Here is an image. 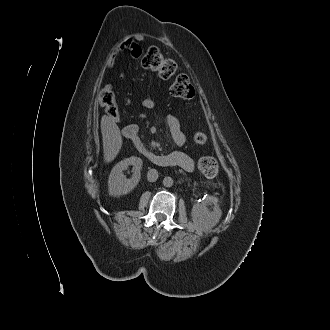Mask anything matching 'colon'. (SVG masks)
<instances>
[{
    "label": "colon",
    "mask_w": 330,
    "mask_h": 330,
    "mask_svg": "<svg viewBox=\"0 0 330 330\" xmlns=\"http://www.w3.org/2000/svg\"><path fill=\"white\" fill-rule=\"evenodd\" d=\"M143 68L155 72L162 79H171L175 77L171 85V94L182 99H190L195 95L194 87L189 76L178 74V64L166 58L160 49L156 46L147 48L141 59ZM99 102L103 106L108 116L117 119L119 109L116 103L115 94L110 86L104 87L99 93ZM193 140L197 144H205L207 136L203 132H196ZM201 173L206 177H214L218 172V163L212 157H202L198 162Z\"/></svg>",
    "instance_id": "obj_1"
}]
</instances>
